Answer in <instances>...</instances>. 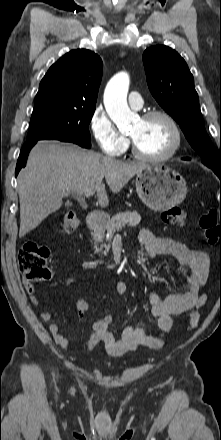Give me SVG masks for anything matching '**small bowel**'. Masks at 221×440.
Segmentation results:
<instances>
[{"label": "small bowel", "mask_w": 221, "mask_h": 440, "mask_svg": "<svg viewBox=\"0 0 221 440\" xmlns=\"http://www.w3.org/2000/svg\"><path fill=\"white\" fill-rule=\"evenodd\" d=\"M138 242L144 247L149 257L159 254L176 257L179 261V267L175 276L177 280H183V283H176L175 289L164 298L153 291L148 294L151 316L157 322L158 334H153L145 328L128 327L119 338H116L109 329L110 324H104L103 318H101L93 324L94 332L85 343L87 348L102 343L106 352L113 356L133 351L138 347L157 349L163 345L164 337L172 329V317L187 314L189 328L195 327L200 319L207 301L206 295L201 294V289L209 276L210 260L207 253L191 249L173 239L157 238L147 229L140 230ZM23 284L30 302L33 305H39L40 300L36 296L33 285L26 279ZM127 291L126 282L118 281L116 283V292L119 295H125ZM40 317L43 321L48 322L51 320L52 314L49 311H43ZM49 330L57 344L65 349L72 348L71 343L56 323H50Z\"/></svg>", "instance_id": "c3829d8e"}]
</instances>
